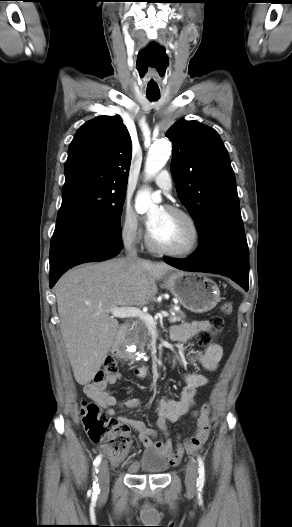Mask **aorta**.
Wrapping results in <instances>:
<instances>
[{"instance_id":"1","label":"aorta","mask_w":292,"mask_h":527,"mask_svg":"<svg viewBox=\"0 0 292 527\" xmlns=\"http://www.w3.org/2000/svg\"><path fill=\"white\" fill-rule=\"evenodd\" d=\"M170 154L171 145L166 140L159 141L150 147L144 168L147 179L154 177L164 167ZM160 200L158 194H151L148 190H142L136 196L135 209L139 214L146 213L155 207Z\"/></svg>"}]
</instances>
